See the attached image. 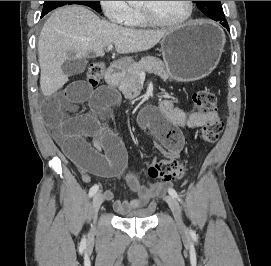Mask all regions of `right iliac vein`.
<instances>
[{"mask_svg":"<svg viewBox=\"0 0 271 266\" xmlns=\"http://www.w3.org/2000/svg\"><path fill=\"white\" fill-rule=\"evenodd\" d=\"M104 198L101 192H98L94 195L92 203H91V212L94 216V219L96 218V215L98 213V210L103 203Z\"/></svg>","mask_w":271,"mask_h":266,"instance_id":"right-iliac-vein-1","label":"right iliac vein"}]
</instances>
